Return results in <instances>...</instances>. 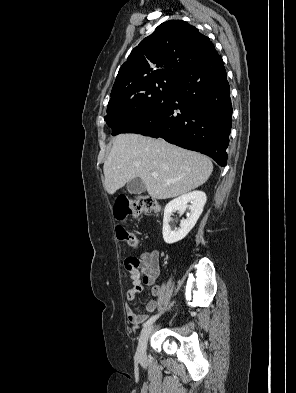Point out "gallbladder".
<instances>
[{
    "instance_id": "obj_1",
    "label": "gallbladder",
    "mask_w": 296,
    "mask_h": 393,
    "mask_svg": "<svg viewBox=\"0 0 296 393\" xmlns=\"http://www.w3.org/2000/svg\"><path fill=\"white\" fill-rule=\"evenodd\" d=\"M127 191L131 194H141L146 191V188L140 178H135L127 183Z\"/></svg>"
}]
</instances>
